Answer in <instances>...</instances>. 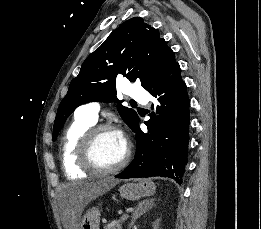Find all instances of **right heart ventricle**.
Returning <instances> with one entry per match:
<instances>
[{"instance_id":"e07e8e85","label":"right heart ventricle","mask_w":261,"mask_h":229,"mask_svg":"<svg viewBox=\"0 0 261 229\" xmlns=\"http://www.w3.org/2000/svg\"><path fill=\"white\" fill-rule=\"evenodd\" d=\"M94 125V122L82 115L80 107L75 111L74 118L60 141V158L66 173L85 174L87 172L79 160V145L84 134Z\"/></svg>"}]
</instances>
